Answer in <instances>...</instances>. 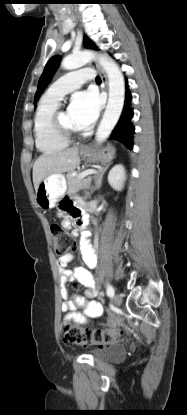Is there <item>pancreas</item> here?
<instances>
[{
  "label": "pancreas",
  "instance_id": "pancreas-1",
  "mask_svg": "<svg viewBox=\"0 0 187 415\" xmlns=\"http://www.w3.org/2000/svg\"><path fill=\"white\" fill-rule=\"evenodd\" d=\"M66 177L68 184L67 194L69 196L77 193L81 189L88 188L91 182V177L79 179V174L74 176L72 172L68 173Z\"/></svg>",
  "mask_w": 187,
  "mask_h": 415
}]
</instances>
